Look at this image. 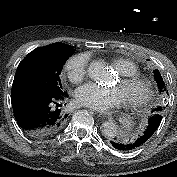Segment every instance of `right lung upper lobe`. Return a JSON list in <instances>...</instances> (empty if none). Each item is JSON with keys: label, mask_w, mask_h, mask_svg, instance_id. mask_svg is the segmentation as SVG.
<instances>
[{"label": "right lung upper lobe", "mask_w": 177, "mask_h": 177, "mask_svg": "<svg viewBox=\"0 0 177 177\" xmlns=\"http://www.w3.org/2000/svg\"><path fill=\"white\" fill-rule=\"evenodd\" d=\"M73 53V46L63 43H54L48 46L40 47L30 52L19 64V68L23 65L33 64L40 67H47L57 62L69 58Z\"/></svg>", "instance_id": "1"}]
</instances>
